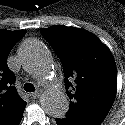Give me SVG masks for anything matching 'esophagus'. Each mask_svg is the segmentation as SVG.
<instances>
[{"label":"esophagus","mask_w":125,"mask_h":125,"mask_svg":"<svg viewBox=\"0 0 125 125\" xmlns=\"http://www.w3.org/2000/svg\"><path fill=\"white\" fill-rule=\"evenodd\" d=\"M40 94L41 93L39 91H36V92L30 94V96H31L32 99H36V98H38L40 96Z\"/></svg>","instance_id":"1"}]
</instances>
